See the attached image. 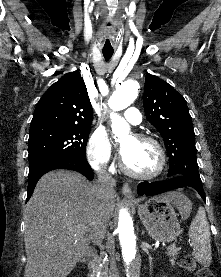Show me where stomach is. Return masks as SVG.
Instances as JSON below:
<instances>
[{
  "label": "stomach",
  "instance_id": "0dacf381",
  "mask_svg": "<svg viewBox=\"0 0 221 277\" xmlns=\"http://www.w3.org/2000/svg\"><path fill=\"white\" fill-rule=\"evenodd\" d=\"M177 207L181 218H187L191 210V203L185 198ZM138 215L154 240L172 242L181 232L174 206L163 197H153L139 205Z\"/></svg>",
  "mask_w": 221,
  "mask_h": 277
}]
</instances>
